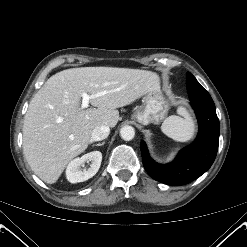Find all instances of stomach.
Returning <instances> with one entry per match:
<instances>
[{
    "label": "stomach",
    "mask_w": 247,
    "mask_h": 247,
    "mask_svg": "<svg viewBox=\"0 0 247 247\" xmlns=\"http://www.w3.org/2000/svg\"><path fill=\"white\" fill-rule=\"evenodd\" d=\"M169 107L168 99L158 86L146 93L142 99V105L137 108L131 118L143 125L158 124L165 118Z\"/></svg>",
    "instance_id": "1"
}]
</instances>
